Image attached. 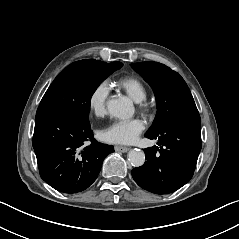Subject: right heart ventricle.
Masks as SVG:
<instances>
[{
  "label": "right heart ventricle",
  "mask_w": 239,
  "mask_h": 239,
  "mask_svg": "<svg viewBox=\"0 0 239 239\" xmlns=\"http://www.w3.org/2000/svg\"><path fill=\"white\" fill-rule=\"evenodd\" d=\"M120 83L123 88L136 100H142L147 95L145 85L137 78H124L120 81Z\"/></svg>",
  "instance_id": "e07e8e85"
}]
</instances>
